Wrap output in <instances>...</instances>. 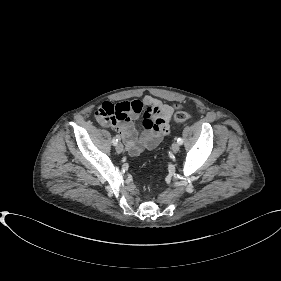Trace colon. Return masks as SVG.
<instances>
[{
  "label": "colon",
  "mask_w": 281,
  "mask_h": 281,
  "mask_svg": "<svg viewBox=\"0 0 281 281\" xmlns=\"http://www.w3.org/2000/svg\"><path fill=\"white\" fill-rule=\"evenodd\" d=\"M140 105L135 102L132 110H139ZM130 112V106L127 102L119 104L106 103L97 111V117L103 121L116 122L123 120ZM174 121L177 123H186L190 120V115L185 111H178L174 114Z\"/></svg>",
  "instance_id": "obj_1"
}]
</instances>
